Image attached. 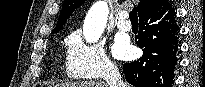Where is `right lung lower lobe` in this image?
<instances>
[{
	"label": "right lung lower lobe",
	"instance_id": "1",
	"mask_svg": "<svg viewBox=\"0 0 205 87\" xmlns=\"http://www.w3.org/2000/svg\"><path fill=\"white\" fill-rule=\"evenodd\" d=\"M139 16L135 39L143 56L124 64L126 80L136 87H171L178 51L176 13L169 0H160Z\"/></svg>",
	"mask_w": 205,
	"mask_h": 87
}]
</instances>
